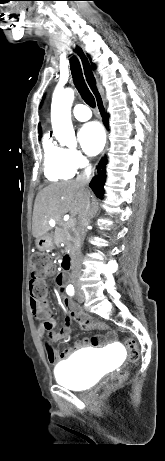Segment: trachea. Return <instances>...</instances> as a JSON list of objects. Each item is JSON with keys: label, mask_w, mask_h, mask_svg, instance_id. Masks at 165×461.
I'll list each match as a JSON object with an SVG mask.
<instances>
[{"label": "trachea", "mask_w": 165, "mask_h": 461, "mask_svg": "<svg viewBox=\"0 0 165 461\" xmlns=\"http://www.w3.org/2000/svg\"><path fill=\"white\" fill-rule=\"evenodd\" d=\"M82 55V54H81ZM83 56V55H82ZM70 67H71V74L73 78V82L75 87L77 88L78 92L80 93L82 99L91 107H95V98L90 92L88 86L83 77L82 69L80 63L76 57H72L70 59ZM84 71L87 82L92 89L94 95L96 96L97 101H102L100 94L95 86V78L91 72L89 63L87 59L84 58Z\"/></svg>", "instance_id": "obj_1"}]
</instances>
